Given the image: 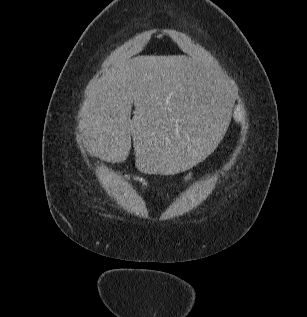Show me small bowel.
Segmentation results:
<instances>
[{
	"label": "small bowel",
	"instance_id": "obj_1",
	"mask_svg": "<svg viewBox=\"0 0 307 317\" xmlns=\"http://www.w3.org/2000/svg\"><path fill=\"white\" fill-rule=\"evenodd\" d=\"M192 176L191 174H188L186 177H185V184H188V182L191 180ZM138 181H140L141 183L145 184L144 180L142 178H137Z\"/></svg>",
	"mask_w": 307,
	"mask_h": 317
}]
</instances>
